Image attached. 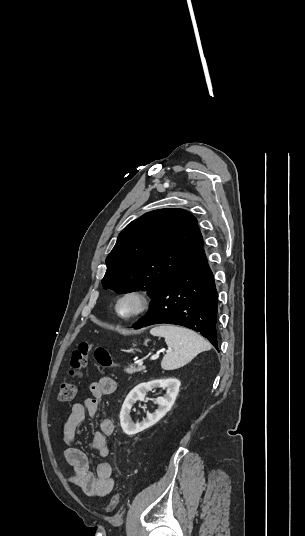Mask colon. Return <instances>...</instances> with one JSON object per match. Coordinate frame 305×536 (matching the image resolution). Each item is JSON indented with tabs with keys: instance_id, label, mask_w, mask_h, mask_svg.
I'll list each match as a JSON object with an SVG mask.
<instances>
[{
	"instance_id": "5ec220e1",
	"label": "colon",
	"mask_w": 305,
	"mask_h": 536,
	"mask_svg": "<svg viewBox=\"0 0 305 536\" xmlns=\"http://www.w3.org/2000/svg\"><path fill=\"white\" fill-rule=\"evenodd\" d=\"M94 357L96 362L105 368H114L117 364L112 359L108 349L104 346H94L91 342L81 341L78 347L73 350L70 361L69 381L61 384L58 399L61 403H70L75 395L77 381L81 379L83 371L86 369L89 358ZM119 503V494L113 493L109 504L105 508L107 513H111Z\"/></svg>"
}]
</instances>
